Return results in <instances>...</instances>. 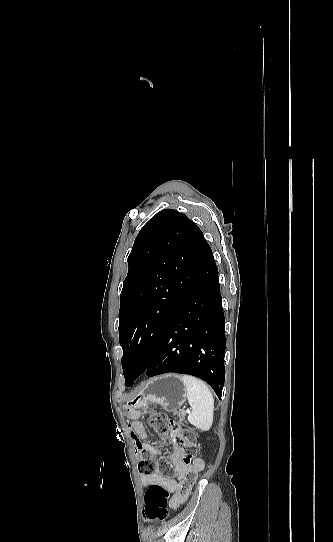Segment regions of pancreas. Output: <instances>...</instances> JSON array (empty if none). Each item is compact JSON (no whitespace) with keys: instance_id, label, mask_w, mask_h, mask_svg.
<instances>
[{"instance_id":"pancreas-1","label":"pancreas","mask_w":333,"mask_h":542,"mask_svg":"<svg viewBox=\"0 0 333 542\" xmlns=\"http://www.w3.org/2000/svg\"><path fill=\"white\" fill-rule=\"evenodd\" d=\"M173 414L174 416H178L180 422H184L186 416L185 410H181V412H173Z\"/></svg>"}]
</instances>
